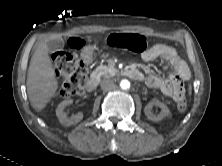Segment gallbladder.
Segmentation results:
<instances>
[{
  "instance_id": "bac80fb5",
  "label": "gallbladder",
  "mask_w": 222,
  "mask_h": 166,
  "mask_svg": "<svg viewBox=\"0 0 222 166\" xmlns=\"http://www.w3.org/2000/svg\"><path fill=\"white\" fill-rule=\"evenodd\" d=\"M64 44L65 42L63 38H57V39L50 40L47 43V46L50 51H57V50L62 49L64 47Z\"/></svg>"
}]
</instances>
